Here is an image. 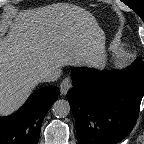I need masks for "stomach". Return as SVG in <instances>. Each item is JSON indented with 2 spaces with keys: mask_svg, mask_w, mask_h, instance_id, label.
<instances>
[{
  "mask_svg": "<svg viewBox=\"0 0 144 144\" xmlns=\"http://www.w3.org/2000/svg\"><path fill=\"white\" fill-rule=\"evenodd\" d=\"M105 64H106V56L104 55L101 65H105Z\"/></svg>",
  "mask_w": 144,
  "mask_h": 144,
  "instance_id": "obj_1",
  "label": "stomach"
}]
</instances>
